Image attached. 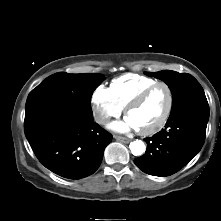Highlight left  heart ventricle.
<instances>
[{"instance_id": "b2bd125f", "label": "left heart ventricle", "mask_w": 221, "mask_h": 221, "mask_svg": "<svg viewBox=\"0 0 221 221\" xmlns=\"http://www.w3.org/2000/svg\"><path fill=\"white\" fill-rule=\"evenodd\" d=\"M167 104V90L159 86L150 93L142 104L131 110L127 117L135 125L136 129H149L161 120Z\"/></svg>"}]
</instances>
